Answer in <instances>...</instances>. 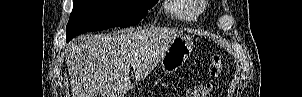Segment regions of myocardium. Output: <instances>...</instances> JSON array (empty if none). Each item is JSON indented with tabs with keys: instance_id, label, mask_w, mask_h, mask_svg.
<instances>
[{
	"instance_id": "myocardium-1",
	"label": "myocardium",
	"mask_w": 302,
	"mask_h": 97,
	"mask_svg": "<svg viewBox=\"0 0 302 97\" xmlns=\"http://www.w3.org/2000/svg\"><path fill=\"white\" fill-rule=\"evenodd\" d=\"M198 3H203V1H197Z\"/></svg>"
}]
</instances>
